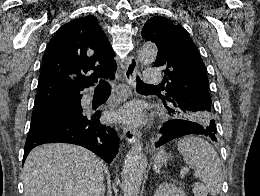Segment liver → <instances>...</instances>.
<instances>
[{
	"label": "liver",
	"instance_id": "1",
	"mask_svg": "<svg viewBox=\"0 0 260 196\" xmlns=\"http://www.w3.org/2000/svg\"><path fill=\"white\" fill-rule=\"evenodd\" d=\"M103 162L72 144H43L23 166L24 196H102Z\"/></svg>",
	"mask_w": 260,
	"mask_h": 196
}]
</instances>
